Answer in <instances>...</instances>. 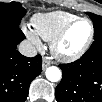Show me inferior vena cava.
<instances>
[{
	"label": "inferior vena cava",
	"mask_w": 102,
	"mask_h": 102,
	"mask_svg": "<svg viewBox=\"0 0 102 102\" xmlns=\"http://www.w3.org/2000/svg\"><path fill=\"white\" fill-rule=\"evenodd\" d=\"M19 52L26 57H34L37 55L36 48L31 42L24 40L18 45Z\"/></svg>",
	"instance_id": "602c4592"
}]
</instances>
